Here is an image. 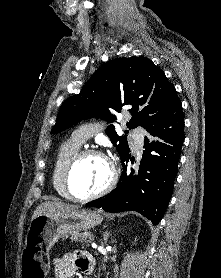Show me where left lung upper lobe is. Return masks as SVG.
Instances as JSON below:
<instances>
[{
	"label": "left lung upper lobe",
	"mask_w": 221,
	"mask_h": 278,
	"mask_svg": "<svg viewBox=\"0 0 221 278\" xmlns=\"http://www.w3.org/2000/svg\"><path fill=\"white\" fill-rule=\"evenodd\" d=\"M179 100L164 72L148 58L131 56L103 64L83 86L80 93L67 99L60 108L52 133L91 117L112 122L110 110L128 106L132 114L129 129L147 127L159 120ZM120 158L130 152L126 136H118L111 124L106 130Z\"/></svg>",
	"instance_id": "obj_1"
}]
</instances>
